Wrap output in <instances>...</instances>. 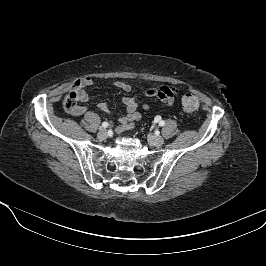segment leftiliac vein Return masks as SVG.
Returning <instances> with one entry per match:
<instances>
[{
  "instance_id": "left-iliac-vein-1",
  "label": "left iliac vein",
  "mask_w": 266,
  "mask_h": 266,
  "mask_svg": "<svg viewBox=\"0 0 266 266\" xmlns=\"http://www.w3.org/2000/svg\"><path fill=\"white\" fill-rule=\"evenodd\" d=\"M151 141L155 146H161L164 143V139L161 136H151Z\"/></svg>"
}]
</instances>
